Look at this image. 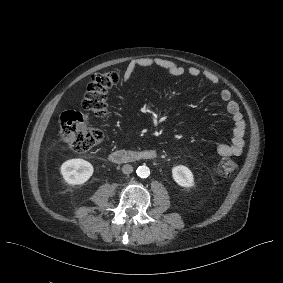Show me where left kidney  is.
<instances>
[{"label":"left kidney","mask_w":283,"mask_h":283,"mask_svg":"<svg viewBox=\"0 0 283 283\" xmlns=\"http://www.w3.org/2000/svg\"><path fill=\"white\" fill-rule=\"evenodd\" d=\"M172 177L174 181L181 187L194 186V177L191 170L183 165H178L172 168Z\"/></svg>","instance_id":"obj_1"}]
</instances>
